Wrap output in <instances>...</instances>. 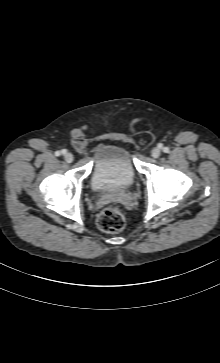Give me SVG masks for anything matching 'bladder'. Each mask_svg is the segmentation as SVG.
<instances>
[{
  "label": "bladder",
  "mask_w": 220,
  "mask_h": 363,
  "mask_svg": "<svg viewBox=\"0 0 220 363\" xmlns=\"http://www.w3.org/2000/svg\"><path fill=\"white\" fill-rule=\"evenodd\" d=\"M137 170L129 148L120 142H100L90 174L97 191H121L132 186Z\"/></svg>",
  "instance_id": "obj_1"
}]
</instances>
